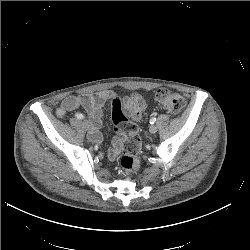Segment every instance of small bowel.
I'll use <instances>...</instances> for the list:
<instances>
[{
	"mask_svg": "<svg viewBox=\"0 0 250 250\" xmlns=\"http://www.w3.org/2000/svg\"><path fill=\"white\" fill-rule=\"evenodd\" d=\"M117 93L111 91H100L86 95H69L63 99L61 105L57 108L56 113L59 117H64L68 112L79 107L85 109L90 118L91 131L88 135L93 142L99 143L102 135L99 131L101 126L102 106ZM116 149L110 152V157H114Z\"/></svg>",
	"mask_w": 250,
	"mask_h": 250,
	"instance_id": "c3829d8e",
	"label": "small bowel"
}]
</instances>
